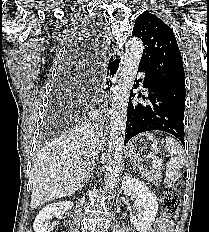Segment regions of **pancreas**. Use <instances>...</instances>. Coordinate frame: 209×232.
Returning a JSON list of instances; mask_svg holds the SVG:
<instances>
[{"label": "pancreas", "instance_id": "cf45deb5", "mask_svg": "<svg viewBox=\"0 0 209 232\" xmlns=\"http://www.w3.org/2000/svg\"><path fill=\"white\" fill-rule=\"evenodd\" d=\"M161 171V165H157L156 167H153L151 170L142 169L141 173L145 179L151 181L154 185H159L161 179Z\"/></svg>", "mask_w": 209, "mask_h": 232}]
</instances>
